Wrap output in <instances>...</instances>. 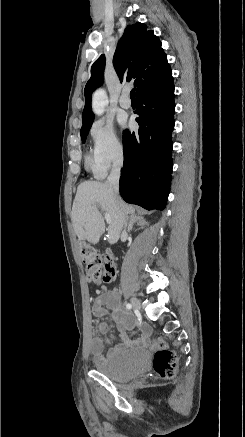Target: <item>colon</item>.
Returning a JSON list of instances; mask_svg holds the SVG:
<instances>
[{"instance_id":"obj_1","label":"colon","mask_w":245,"mask_h":437,"mask_svg":"<svg viewBox=\"0 0 245 437\" xmlns=\"http://www.w3.org/2000/svg\"><path fill=\"white\" fill-rule=\"evenodd\" d=\"M82 262L86 268L88 280L96 284L111 283L116 278V267L112 259L102 255L96 249L85 246L81 251ZM154 350L153 367L160 378H172L175 375L178 357L167 348L162 338L152 342Z\"/></svg>"}]
</instances>
